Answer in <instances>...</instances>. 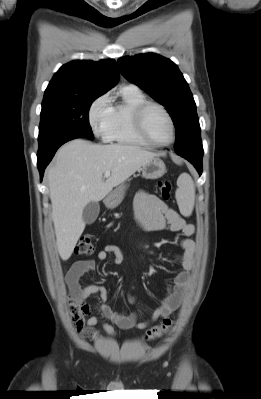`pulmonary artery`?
<instances>
[{
	"label": "pulmonary artery",
	"instance_id": "pulmonary-artery-1",
	"mask_svg": "<svg viewBox=\"0 0 261 399\" xmlns=\"http://www.w3.org/2000/svg\"><path fill=\"white\" fill-rule=\"evenodd\" d=\"M129 87H133V88H137L135 85H133V84H130V85H128Z\"/></svg>",
	"mask_w": 261,
	"mask_h": 399
}]
</instances>
